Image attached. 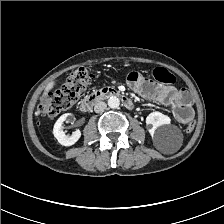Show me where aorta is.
<instances>
[{
    "label": "aorta",
    "mask_w": 224,
    "mask_h": 224,
    "mask_svg": "<svg viewBox=\"0 0 224 224\" xmlns=\"http://www.w3.org/2000/svg\"><path fill=\"white\" fill-rule=\"evenodd\" d=\"M120 105V100L115 97V96H112L108 99V106L112 109H115V108H118Z\"/></svg>",
    "instance_id": "obj_1"
}]
</instances>
